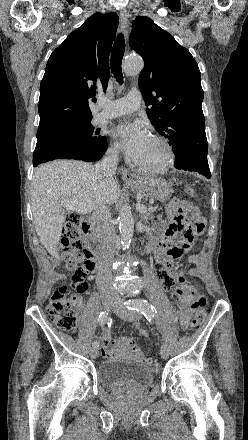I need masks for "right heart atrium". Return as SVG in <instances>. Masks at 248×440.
<instances>
[{"label":"right heart atrium","instance_id":"obj_1","mask_svg":"<svg viewBox=\"0 0 248 440\" xmlns=\"http://www.w3.org/2000/svg\"><path fill=\"white\" fill-rule=\"evenodd\" d=\"M107 153H108L110 158L117 159L119 157V154H120L119 147L116 144L112 143L108 147Z\"/></svg>","mask_w":248,"mask_h":440}]
</instances>
